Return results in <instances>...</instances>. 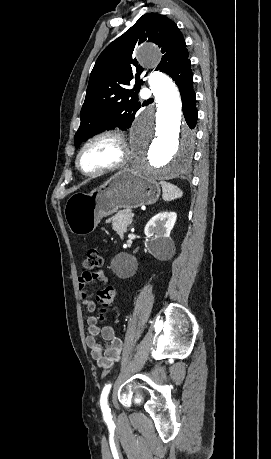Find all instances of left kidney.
<instances>
[{
  "label": "left kidney",
  "instance_id": "5707ae66",
  "mask_svg": "<svg viewBox=\"0 0 271 459\" xmlns=\"http://www.w3.org/2000/svg\"><path fill=\"white\" fill-rule=\"evenodd\" d=\"M177 214L175 212H159L147 222L144 231L149 237L148 249L152 255H162L169 251L173 245L170 231L174 228Z\"/></svg>",
  "mask_w": 271,
  "mask_h": 459
}]
</instances>
